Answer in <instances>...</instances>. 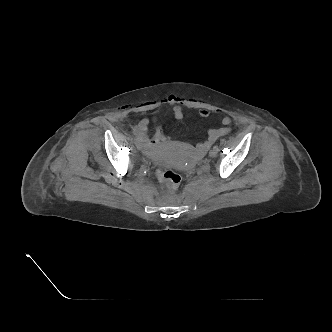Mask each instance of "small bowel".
<instances>
[{
	"mask_svg": "<svg viewBox=\"0 0 332 332\" xmlns=\"http://www.w3.org/2000/svg\"><path fill=\"white\" fill-rule=\"evenodd\" d=\"M167 104L172 106L173 115L177 120H181L185 117V110L183 108V100L177 96L169 95L166 99L154 102L150 105L151 108L159 107L160 105ZM199 115L202 118H206L209 116V111L206 109H201L199 111ZM149 119L144 118L142 119L139 124L137 125V129L140 131L141 134L145 135L148 131L149 126ZM222 127L220 128H211L208 130V137L207 139L199 143L197 145V151L202 154L204 153L219 137L224 136L230 132V123L231 118L229 116H224L221 120ZM163 139H159L157 137L153 138L152 140L145 139L144 143V151L148 154L153 153L155 149H157L163 142Z\"/></svg>",
	"mask_w": 332,
	"mask_h": 332,
	"instance_id": "c3829d8e",
	"label": "small bowel"
}]
</instances>
